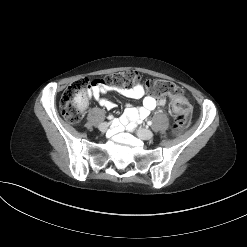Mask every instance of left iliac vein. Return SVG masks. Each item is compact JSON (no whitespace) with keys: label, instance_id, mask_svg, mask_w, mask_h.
<instances>
[{"label":"left iliac vein","instance_id":"1","mask_svg":"<svg viewBox=\"0 0 247 247\" xmlns=\"http://www.w3.org/2000/svg\"><path fill=\"white\" fill-rule=\"evenodd\" d=\"M136 134L142 140H150L154 136L152 131L141 127L136 130Z\"/></svg>","mask_w":247,"mask_h":247}]
</instances>
